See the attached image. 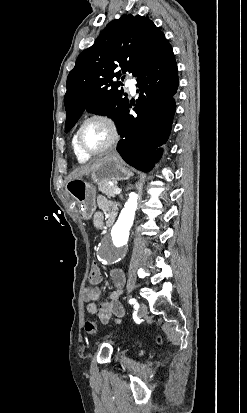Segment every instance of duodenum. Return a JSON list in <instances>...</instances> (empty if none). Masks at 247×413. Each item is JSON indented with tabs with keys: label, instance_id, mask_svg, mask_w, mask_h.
<instances>
[{
	"label": "duodenum",
	"instance_id": "duodenum-1",
	"mask_svg": "<svg viewBox=\"0 0 247 413\" xmlns=\"http://www.w3.org/2000/svg\"><path fill=\"white\" fill-rule=\"evenodd\" d=\"M107 225H108V226H110V225H111V223H109V222H108V224H107Z\"/></svg>",
	"mask_w": 247,
	"mask_h": 413
}]
</instances>
